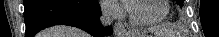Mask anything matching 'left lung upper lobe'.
<instances>
[{
    "label": "left lung upper lobe",
    "mask_w": 219,
    "mask_h": 37,
    "mask_svg": "<svg viewBox=\"0 0 219 37\" xmlns=\"http://www.w3.org/2000/svg\"><path fill=\"white\" fill-rule=\"evenodd\" d=\"M177 1V3L182 7V4H183V1L184 0H176Z\"/></svg>",
    "instance_id": "1"
}]
</instances>
